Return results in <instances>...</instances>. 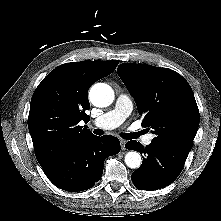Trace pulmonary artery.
I'll list each match as a JSON object with an SVG mask.
<instances>
[{
    "label": "pulmonary artery",
    "mask_w": 221,
    "mask_h": 221,
    "mask_svg": "<svg viewBox=\"0 0 221 221\" xmlns=\"http://www.w3.org/2000/svg\"><path fill=\"white\" fill-rule=\"evenodd\" d=\"M132 102L130 98L121 94L118 96L115 106L112 110L106 112L102 116L96 118L93 124L101 129H113L122 124L125 119L131 114ZM153 135L149 134L144 137V144H151Z\"/></svg>",
    "instance_id": "obj_1"
}]
</instances>
